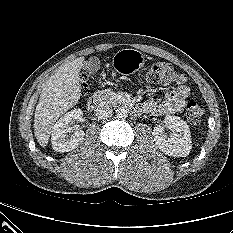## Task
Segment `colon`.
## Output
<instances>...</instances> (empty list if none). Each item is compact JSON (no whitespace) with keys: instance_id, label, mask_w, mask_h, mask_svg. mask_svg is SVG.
<instances>
[{"instance_id":"colon-1","label":"colon","mask_w":233,"mask_h":233,"mask_svg":"<svg viewBox=\"0 0 233 233\" xmlns=\"http://www.w3.org/2000/svg\"><path fill=\"white\" fill-rule=\"evenodd\" d=\"M146 80L150 83L161 85H183L186 82L184 74L177 72L174 67L165 62L153 63L146 73ZM83 90L87 87V76L81 77ZM203 110L194 99H189L185 104V117L191 124H198Z\"/></svg>"}]
</instances>
